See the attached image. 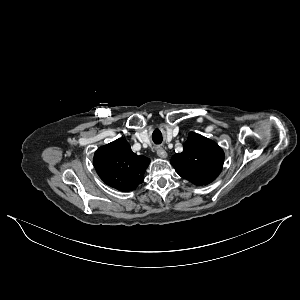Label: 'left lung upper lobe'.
<instances>
[{"label": "left lung upper lobe", "instance_id": "obj_1", "mask_svg": "<svg viewBox=\"0 0 300 300\" xmlns=\"http://www.w3.org/2000/svg\"><path fill=\"white\" fill-rule=\"evenodd\" d=\"M183 152L171 158L177 173L195 185H207L220 174L224 152L214 141L194 132L188 134Z\"/></svg>", "mask_w": 300, "mask_h": 300}]
</instances>
